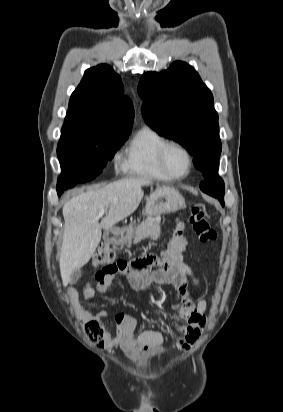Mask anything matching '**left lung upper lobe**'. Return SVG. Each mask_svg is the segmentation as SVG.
Masks as SVG:
<instances>
[{"label": "left lung upper lobe", "mask_w": 283, "mask_h": 412, "mask_svg": "<svg viewBox=\"0 0 283 412\" xmlns=\"http://www.w3.org/2000/svg\"><path fill=\"white\" fill-rule=\"evenodd\" d=\"M138 92L145 100L142 114L149 126L185 146L207 181L206 193L223 200V180L209 179L219 164L222 148L218 115L212 93L198 73L185 62L176 61L161 73L143 75Z\"/></svg>", "instance_id": "5c2ea615"}]
</instances>
